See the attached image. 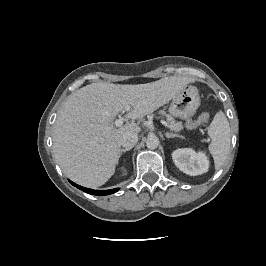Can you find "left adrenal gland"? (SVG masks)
Instances as JSON below:
<instances>
[{
    "instance_id": "a2214340",
    "label": "left adrenal gland",
    "mask_w": 266,
    "mask_h": 266,
    "mask_svg": "<svg viewBox=\"0 0 266 266\" xmlns=\"http://www.w3.org/2000/svg\"><path fill=\"white\" fill-rule=\"evenodd\" d=\"M165 137L166 138H174V137H182V136L167 132V133H165Z\"/></svg>"
}]
</instances>
